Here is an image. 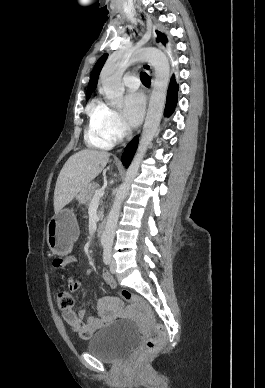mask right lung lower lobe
I'll use <instances>...</instances> for the list:
<instances>
[{
  "instance_id": "98d812e1",
  "label": "right lung lower lobe",
  "mask_w": 265,
  "mask_h": 388,
  "mask_svg": "<svg viewBox=\"0 0 265 388\" xmlns=\"http://www.w3.org/2000/svg\"><path fill=\"white\" fill-rule=\"evenodd\" d=\"M138 137H135L125 148V151L122 155V163L126 166V168L130 165L131 160L135 154L138 145Z\"/></svg>"
}]
</instances>
